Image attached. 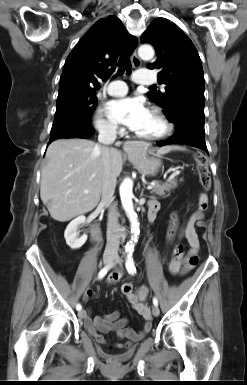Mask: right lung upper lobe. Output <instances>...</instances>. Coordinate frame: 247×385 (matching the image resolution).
<instances>
[{
  "label": "right lung upper lobe",
  "instance_id": "obj_1",
  "mask_svg": "<svg viewBox=\"0 0 247 385\" xmlns=\"http://www.w3.org/2000/svg\"><path fill=\"white\" fill-rule=\"evenodd\" d=\"M137 43V38L128 33L116 16L98 20L67 57L59 93L95 92L99 87L97 78L106 81Z\"/></svg>",
  "mask_w": 247,
  "mask_h": 385
}]
</instances>
